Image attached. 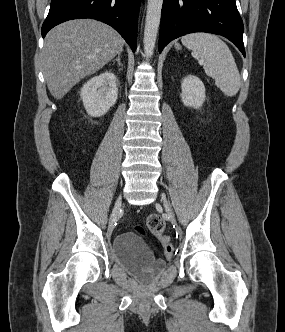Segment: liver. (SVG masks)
Here are the masks:
<instances>
[{"instance_id":"obj_1","label":"liver","mask_w":285,"mask_h":332,"mask_svg":"<svg viewBox=\"0 0 285 332\" xmlns=\"http://www.w3.org/2000/svg\"><path fill=\"white\" fill-rule=\"evenodd\" d=\"M123 38L92 19L61 23L46 36L43 72L54 98H63L84 77L97 72L123 51Z\"/></svg>"}]
</instances>
